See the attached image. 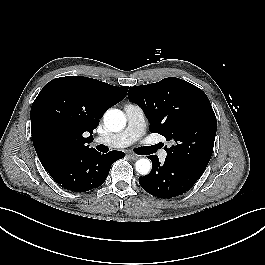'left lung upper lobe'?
<instances>
[{
  "instance_id": "5c2ea615",
  "label": "left lung upper lobe",
  "mask_w": 265,
  "mask_h": 265,
  "mask_svg": "<svg viewBox=\"0 0 265 265\" xmlns=\"http://www.w3.org/2000/svg\"><path fill=\"white\" fill-rule=\"evenodd\" d=\"M128 98L142 108L152 133L174 143L166 149V159L203 174L217 130V120L206 94L185 80L169 77L130 87Z\"/></svg>"
}]
</instances>
